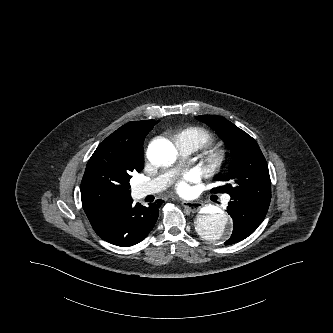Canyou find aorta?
I'll return each mask as SVG.
<instances>
[{
  "label": "aorta",
  "mask_w": 333,
  "mask_h": 333,
  "mask_svg": "<svg viewBox=\"0 0 333 333\" xmlns=\"http://www.w3.org/2000/svg\"><path fill=\"white\" fill-rule=\"evenodd\" d=\"M176 155L175 147L167 140H155L147 149V158L155 165L171 164ZM196 227L201 236L215 242L227 239L231 232L227 214L216 209L199 212Z\"/></svg>",
  "instance_id": "obj_1"
}]
</instances>
